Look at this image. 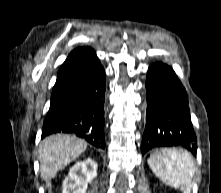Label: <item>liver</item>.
<instances>
[{"mask_svg": "<svg viewBox=\"0 0 221 193\" xmlns=\"http://www.w3.org/2000/svg\"><path fill=\"white\" fill-rule=\"evenodd\" d=\"M87 148L85 141L70 135L56 134L45 138L39 146L41 179L51 192V179L78 158Z\"/></svg>", "mask_w": 221, "mask_h": 193, "instance_id": "obj_1", "label": "liver"}]
</instances>
